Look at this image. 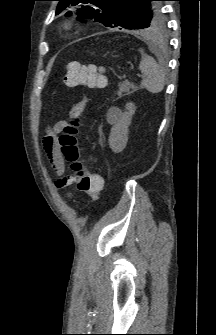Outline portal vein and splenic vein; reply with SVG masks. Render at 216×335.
Masks as SVG:
<instances>
[{
  "mask_svg": "<svg viewBox=\"0 0 216 335\" xmlns=\"http://www.w3.org/2000/svg\"><path fill=\"white\" fill-rule=\"evenodd\" d=\"M137 77L138 78H143V75L138 74Z\"/></svg>",
  "mask_w": 216,
  "mask_h": 335,
  "instance_id": "portal-vein-and-splenic-vein-1",
  "label": "portal vein and splenic vein"
}]
</instances>
